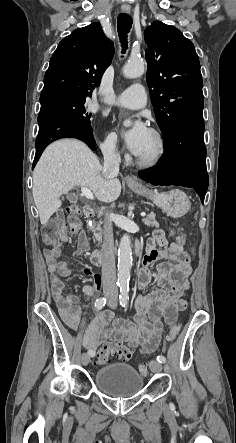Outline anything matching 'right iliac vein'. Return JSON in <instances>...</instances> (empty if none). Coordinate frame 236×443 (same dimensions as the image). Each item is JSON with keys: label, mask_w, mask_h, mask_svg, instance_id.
<instances>
[{"label": "right iliac vein", "mask_w": 236, "mask_h": 443, "mask_svg": "<svg viewBox=\"0 0 236 443\" xmlns=\"http://www.w3.org/2000/svg\"><path fill=\"white\" fill-rule=\"evenodd\" d=\"M81 362H82V364L83 365H88V363L90 362V356H89V354H87V353H83L82 355H81Z\"/></svg>", "instance_id": "right-iliac-vein-1"}]
</instances>
